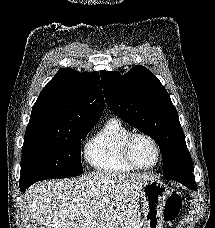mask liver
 Wrapping results in <instances>:
<instances>
[{
    "label": "liver",
    "instance_id": "1",
    "mask_svg": "<svg viewBox=\"0 0 215 228\" xmlns=\"http://www.w3.org/2000/svg\"><path fill=\"white\" fill-rule=\"evenodd\" d=\"M147 174L95 172L81 178L46 180L28 188L31 216L44 228H139L137 198Z\"/></svg>",
    "mask_w": 215,
    "mask_h": 228
}]
</instances>
